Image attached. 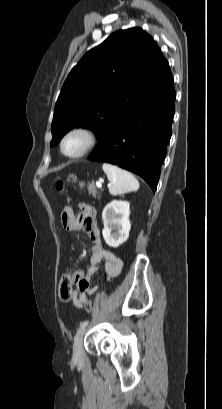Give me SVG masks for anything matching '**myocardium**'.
Here are the masks:
<instances>
[{
    "mask_svg": "<svg viewBox=\"0 0 222 409\" xmlns=\"http://www.w3.org/2000/svg\"><path fill=\"white\" fill-rule=\"evenodd\" d=\"M79 134L82 135L85 139V143L83 147L76 153H68L65 151V143L71 137L72 135ZM98 142V135L97 132L89 126L86 125H78L71 127L68 129L64 135L62 136L60 140V151L61 153L71 159H76L85 156L87 153H89L97 144Z\"/></svg>",
    "mask_w": 222,
    "mask_h": 409,
    "instance_id": "myocardium-1",
    "label": "myocardium"
}]
</instances>
